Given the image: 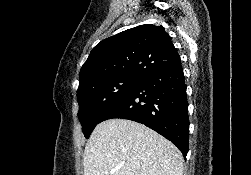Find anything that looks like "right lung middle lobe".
<instances>
[{
    "label": "right lung middle lobe",
    "instance_id": "1",
    "mask_svg": "<svg viewBox=\"0 0 251 175\" xmlns=\"http://www.w3.org/2000/svg\"><path fill=\"white\" fill-rule=\"evenodd\" d=\"M141 79L121 76L108 82L86 85L78 88V117L86 139L95 126L100 123L101 116L122 97H124Z\"/></svg>",
    "mask_w": 251,
    "mask_h": 175
}]
</instances>
